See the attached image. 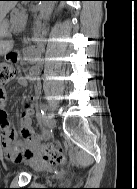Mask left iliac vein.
Returning <instances> with one entry per match:
<instances>
[{
    "label": "left iliac vein",
    "instance_id": "1",
    "mask_svg": "<svg viewBox=\"0 0 137 189\" xmlns=\"http://www.w3.org/2000/svg\"><path fill=\"white\" fill-rule=\"evenodd\" d=\"M56 127V120L54 119V116L52 114L48 115V120H47V131L45 134V139H49L51 136L52 131Z\"/></svg>",
    "mask_w": 137,
    "mask_h": 189
}]
</instances>
